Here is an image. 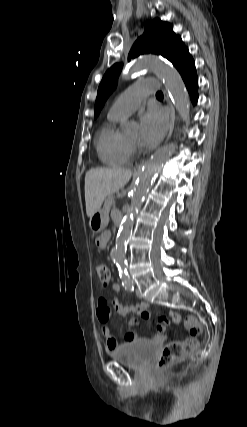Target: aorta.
<instances>
[{
	"label": "aorta",
	"mask_w": 247,
	"mask_h": 427,
	"mask_svg": "<svg viewBox=\"0 0 247 427\" xmlns=\"http://www.w3.org/2000/svg\"><path fill=\"white\" fill-rule=\"evenodd\" d=\"M143 70H153L156 75L163 80L179 114L183 119H187L190 111L189 95L178 71L156 57L144 56L132 63L128 72L123 74L122 79L128 80L132 74L140 73ZM133 129L134 127L131 123L123 124L124 133L130 134ZM175 152L176 145L174 143L165 146L158 150L142 168L136 186L132 192L131 204L119 227L116 245L110 253L111 258L116 262L121 272L125 270L127 241L132 233L134 218L141 208L155 176L160 172L163 164Z\"/></svg>",
	"instance_id": "1"
}]
</instances>
